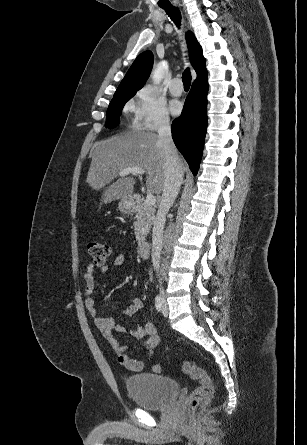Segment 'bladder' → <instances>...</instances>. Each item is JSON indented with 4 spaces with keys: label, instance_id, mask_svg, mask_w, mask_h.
I'll return each instance as SVG.
<instances>
[{
    "label": "bladder",
    "instance_id": "1",
    "mask_svg": "<svg viewBox=\"0 0 307 445\" xmlns=\"http://www.w3.org/2000/svg\"><path fill=\"white\" fill-rule=\"evenodd\" d=\"M125 385L132 401L148 410L167 408L176 399L180 390L175 379L147 372L128 376Z\"/></svg>",
    "mask_w": 307,
    "mask_h": 445
}]
</instances>
